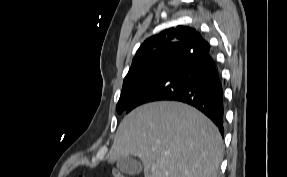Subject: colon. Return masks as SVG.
Here are the masks:
<instances>
[{
    "label": "colon",
    "mask_w": 287,
    "mask_h": 177,
    "mask_svg": "<svg viewBox=\"0 0 287 177\" xmlns=\"http://www.w3.org/2000/svg\"><path fill=\"white\" fill-rule=\"evenodd\" d=\"M80 177V176H78ZM113 177H127L125 174H123L122 172H120L119 170H114L113 171Z\"/></svg>",
    "instance_id": "colon-1"
}]
</instances>
